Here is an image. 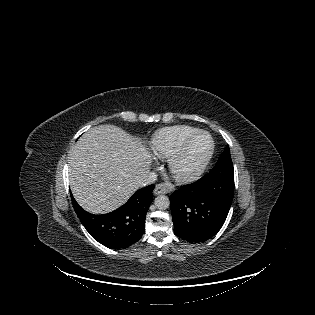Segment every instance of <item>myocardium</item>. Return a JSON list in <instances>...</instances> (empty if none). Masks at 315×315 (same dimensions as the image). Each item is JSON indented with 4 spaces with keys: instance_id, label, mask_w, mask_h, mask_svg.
<instances>
[{
    "instance_id": "f54148a6",
    "label": "myocardium",
    "mask_w": 315,
    "mask_h": 315,
    "mask_svg": "<svg viewBox=\"0 0 315 315\" xmlns=\"http://www.w3.org/2000/svg\"><path fill=\"white\" fill-rule=\"evenodd\" d=\"M200 135H205L209 139V148L205 156L195 166L191 168H187V169L182 168L181 162L183 158L185 157V155L187 154V151L191 143L196 137ZM213 153H214V141H213L212 136L207 131L198 130L195 133L188 136L183 141V143L179 146V148L168 158V168L171 174L174 176V178L177 179L178 181L190 182L197 179L204 173L207 166L209 165V162L213 156Z\"/></svg>"
}]
</instances>
